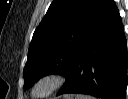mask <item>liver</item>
I'll return each instance as SVG.
<instances>
[{
  "mask_svg": "<svg viewBox=\"0 0 128 99\" xmlns=\"http://www.w3.org/2000/svg\"><path fill=\"white\" fill-rule=\"evenodd\" d=\"M80 97H81V96H76L77 99H81ZM65 98H66V99H72L73 96H72V95H67V96H65Z\"/></svg>",
  "mask_w": 128,
  "mask_h": 99,
  "instance_id": "1",
  "label": "liver"
}]
</instances>
